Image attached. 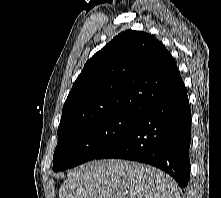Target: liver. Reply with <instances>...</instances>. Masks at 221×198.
<instances>
[{
	"instance_id": "1",
	"label": "liver",
	"mask_w": 221,
	"mask_h": 198,
	"mask_svg": "<svg viewBox=\"0 0 221 198\" xmlns=\"http://www.w3.org/2000/svg\"><path fill=\"white\" fill-rule=\"evenodd\" d=\"M59 198H180V193L174 179L155 167L110 159L74 168Z\"/></svg>"
}]
</instances>
